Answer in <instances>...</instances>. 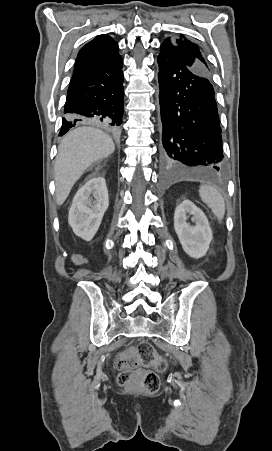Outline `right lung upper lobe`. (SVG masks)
<instances>
[{"label": "right lung upper lobe", "mask_w": 272, "mask_h": 451, "mask_svg": "<svg viewBox=\"0 0 272 451\" xmlns=\"http://www.w3.org/2000/svg\"><path fill=\"white\" fill-rule=\"evenodd\" d=\"M118 44L110 36L98 35L78 53L75 66L110 57L118 53Z\"/></svg>", "instance_id": "obj_1"}]
</instances>
